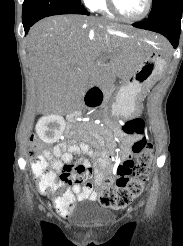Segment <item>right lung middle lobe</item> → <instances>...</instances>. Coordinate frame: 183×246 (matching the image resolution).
Segmentation results:
<instances>
[{
  "mask_svg": "<svg viewBox=\"0 0 183 246\" xmlns=\"http://www.w3.org/2000/svg\"><path fill=\"white\" fill-rule=\"evenodd\" d=\"M65 3H79L78 0H24L23 12L37 10L40 8H49Z\"/></svg>",
  "mask_w": 183,
  "mask_h": 246,
  "instance_id": "obj_1",
  "label": "right lung middle lobe"
}]
</instances>
